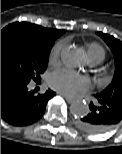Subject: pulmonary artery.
<instances>
[{
  "mask_svg": "<svg viewBox=\"0 0 122 154\" xmlns=\"http://www.w3.org/2000/svg\"><path fill=\"white\" fill-rule=\"evenodd\" d=\"M89 64H90V66H95V65L99 64V62L96 60H90Z\"/></svg>",
  "mask_w": 122,
  "mask_h": 154,
  "instance_id": "e3ab8cb5",
  "label": "pulmonary artery"
}]
</instances>
